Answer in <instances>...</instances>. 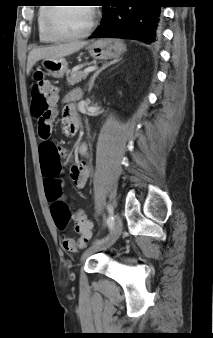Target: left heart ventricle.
Wrapping results in <instances>:
<instances>
[{"label": "left heart ventricle", "mask_w": 213, "mask_h": 338, "mask_svg": "<svg viewBox=\"0 0 213 338\" xmlns=\"http://www.w3.org/2000/svg\"><path fill=\"white\" fill-rule=\"evenodd\" d=\"M90 18V9L85 6H63L53 12L52 25L59 33L74 34L83 31Z\"/></svg>", "instance_id": "left-heart-ventricle-1"}]
</instances>
